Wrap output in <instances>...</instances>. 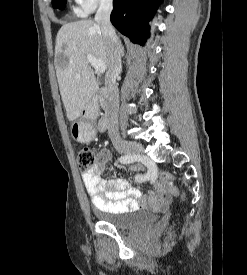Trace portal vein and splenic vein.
Here are the masks:
<instances>
[{"instance_id": "1", "label": "portal vein and splenic vein", "mask_w": 247, "mask_h": 275, "mask_svg": "<svg viewBox=\"0 0 247 275\" xmlns=\"http://www.w3.org/2000/svg\"><path fill=\"white\" fill-rule=\"evenodd\" d=\"M87 60L97 73L103 74L106 71L105 64L102 61L97 60L91 54L87 55Z\"/></svg>"}]
</instances>
